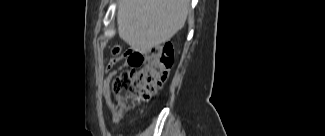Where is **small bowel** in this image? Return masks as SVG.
Wrapping results in <instances>:
<instances>
[{
    "label": "small bowel",
    "mask_w": 325,
    "mask_h": 136,
    "mask_svg": "<svg viewBox=\"0 0 325 136\" xmlns=\"http://www.w3.org/2000/svg\"><path fill=\"white\" fill-rule=\"evenodd\" d=\"M133 45L131 48H126V53L123 54V65L125 69L123 73L116 74V67L119 62L111 59L106 67V79H105V89H104V100L111 112L113 118L118 120L120 118V113L116 110L112 98H121V93L125 91V87L129 86V82L134 74V69H143L145 64V57L143 54L146 52L144 49L142 53H137ZM116 74V76H115ZM111 90V91H110Z\"/></svg>",
    "instance_id": "small-bowel-1"
}]
</instances>
